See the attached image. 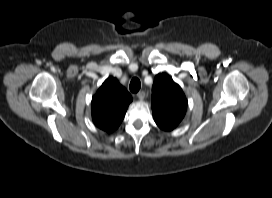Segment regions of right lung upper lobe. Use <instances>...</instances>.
Returning <instances> with one entry per match:
<instances>
[{
    "label": "right lung upper lobe",
    "instance_id": "cb5924a9",
    "mask_svg": "<svg viewBox=\"0 0 272 198\" xmlns=\"http://www.w3.org/2000/svg\"><path fill=\"white\" fill-rule=\"evenodd\" d=\"M131 101V95L118 80L109 77L92 98L94 124L108 133L113 132L122 122Z\"/></svg>",
    "mask_w": 272,
    "mask_h": 198
}]
</instances>
